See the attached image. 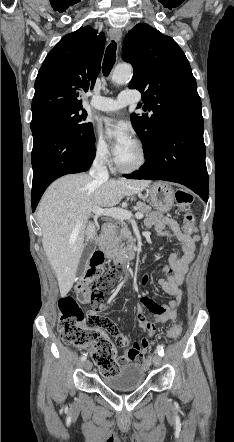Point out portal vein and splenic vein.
<instances>
[{"instance_id": "1", "label": "portal vein and splenic vein", "mask_w": 234, "mask_h": 442, "mask_svg": "<svg viewBox=\"0 0 234 442\" xmlns=\"http://www.w3.org/2000/svg\"><path fill=\"white\" fill-rule=\"evenodd\" d=\"M92 212L95 214V216H109L115 219L120 220H129L133 215L131 211L121 209V208H101L99 206H95L92 210ZM135 218L142 219L143 214L140 212H137L135 214Z\"/></svg>"}]
</instances>
